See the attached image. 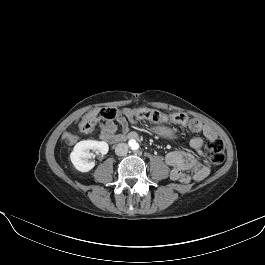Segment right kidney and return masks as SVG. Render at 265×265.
I'll use <instances>...</instances> for the list:
<instances>
[{
	"label": "right kidney",
	"mask_w": 265,
	"mask_h": 265,
	"mask_svg": "<svg viewBox=\"0 0 265 265\" xmlns=\"http://www.w3.org/2000/svg\"><path fill=\"white\" fill-rule=\"evenodd\" d=\"M90 150H98L105 155L108 153L109 147L104 141L84 140L78 142L70 155L71 162L78 171L88 172L95 166L94 162L88 161L91 158Z\"/></svg>",
	"instance_id": "right-kidney-1"
}]
</instances>
